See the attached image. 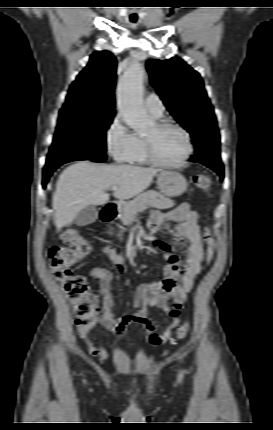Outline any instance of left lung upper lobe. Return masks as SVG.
<instances>
[{
    "label": "left lung upper lobe",
    "instance_id": "obj_1",
    "mask_svg": "<svg viewBox=\"0 0 273 430\" xmlns=\"http://www.w3.org/2000/svg\"><path fill=\"white\" fill-rule=\"evenodd\" d=\"M146 67L167 109L191 134L196 153L206 146L219 147L216 117L199 73L177 57L149 60Z\"/></svg>",
    "mask_w": 273,
    "mask_h": 430
}]
</instances>
